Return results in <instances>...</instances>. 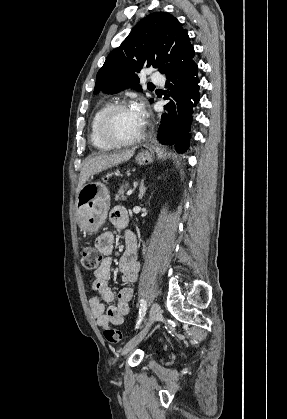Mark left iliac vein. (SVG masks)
Instances as JSON below:
<instances>
[{"label": "left iliac vein", "mask_w": 287, "mask_h": 419, "mask_svg": "<svg viewBox=\"0 0 287 419\" xmlns=\"http://www.w3.org/2000/svg\"><path fill=\"white\" fill-rule=\"evenodd\" d=\"M161 318V308L158 303H153L150 309V314L147 323L142 331L137 334L134 338H132L123 348L122 355H126L130 352L133 348H135L142 339L146 336L148 330L150 329L151 325L158 321Z\"/></svg>", "instance_id": "obj_1"}]
</instances>
